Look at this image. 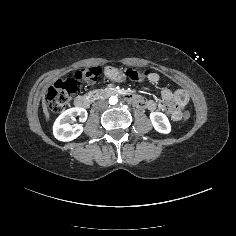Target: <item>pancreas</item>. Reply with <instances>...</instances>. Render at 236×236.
Here are the masks:
<instances>
[{
  "instance_id": "obj_1",
  "label": "pancreas",
  "mask_w": 236,
  "mask_h": 236,
  "mask_svg": "<svg viewBox=\"0 0 236 236\" xmlns=\"http://www.w3.org/2000/svg\"><path fill=\"white\" fill-rule=\"evenodd\" d=\"M88 96H91V98H92L93 101L102 98L101 92H100V90H98V89H92V90H90V91L88 92Z\"/></svg>"
}]
</instances>
